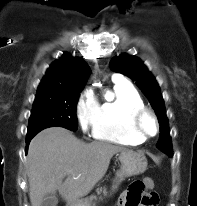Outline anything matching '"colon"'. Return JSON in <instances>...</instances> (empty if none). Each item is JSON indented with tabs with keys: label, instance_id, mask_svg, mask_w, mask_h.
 Wrapping results in <instances>:
<instances>
[{
	"label": "colon",
	"instance_id": "obj_1",
	"mask_svg": "<svg viewBox=\"0 0 197 206\" xmlns=\"http://www.w3.org/2000/svg\"><path fill=\"white\" fill-rule=\"evenodd\" d=\"M153 187V180H137L128 188L127 201L129 206H149L156 204L158 197L155 193H147L148 188Z\"/></svg>",
	"mask_w": 197,
	"mask_h": 206
}]
</instances>
